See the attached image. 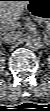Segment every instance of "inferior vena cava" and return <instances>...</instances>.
I'll list each match as a JSON object with an SVG mask.
<instances>
[{"instance_id":"obj_1","label":"inferior vena cava","mask_w":50,"mask_h":111,"mask_svg":"<svg viewBox=\"0 0 50 111\" xmlns=\"http://www.w3.org/2000/svg\"><path fill=\"white\" fill-rule=\"evenodd\" d=\"M21 32L20 31H10L4 34L3 41L6 43H14L21 39Z\"/></svg>"}]
</instances>
